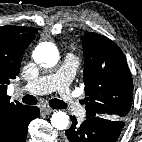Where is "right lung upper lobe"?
<instances>
[{
  "label": "right lung upper lobe",
  "mask_w": 142,
  "mask_h": 142,
  "mask_svg": "<svg viewBox=\"0 0 142 142\" xmlns=\"http://www.w3.org/2000/svg\"><path fill=\"white\" fill-rule=\"evenodd\" d=\"M36 33L37 29L33 27H0V132L26 107L18 101L11 103L6 92L9 80L19 74L24 51Z\"/></svg>",
  "instance_id": "cb5924a9"
}]
</instances>
